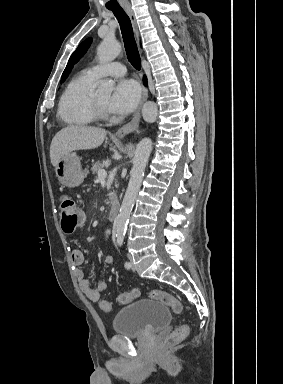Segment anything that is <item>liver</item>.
Segmentation results:
<instances>
[{"mask_svg":"<svg viewBox=\"0 0 283 384\" xmlns=\"http://www.w3.org/2000/svg\"><path fill=\"white\" fill-rule=\"evenodd\" d=\"M107 136L106 130L89 128V126H67L54 136L50 146L52 166H57L61 158L74 150H93L103 144Z\"/></svg>","mask_w":283,"mask_h":384,"instance_id":"liver-1","label":"liver"}]
</instances>
